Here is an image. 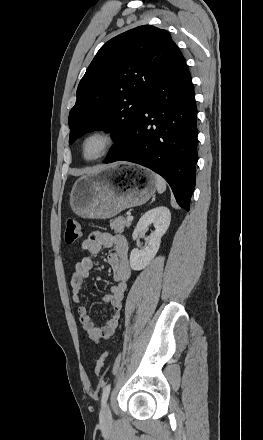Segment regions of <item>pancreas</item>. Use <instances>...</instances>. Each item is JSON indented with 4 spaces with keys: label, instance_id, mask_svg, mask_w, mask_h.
Wrapping results in <instances>:
<instances>
[{
    "label": "pancreas",
    "instance_id": "1",
    "mask_svg": "<svg viewBox=\"0 0 263 440\" xmlns=\"http://www.w3.org/2000/svg\"><path fill=\"white\" fill-rule=\"evenodd\" d=\"M131 225L124 217H117L110 221V227L115 233H122L125 227Z\"/></svg>",
    "mask_w": 263,
    "mask_h": 440
}]
</instances>
